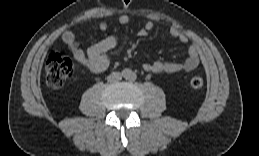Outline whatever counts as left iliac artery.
I'll return each mask as SVG.
<instances>
[{"label": "left iliac artery", "instance_id": "obj_1", "mask_svg": "<svg viewBox=\"0 0 259 156\" xmlns=\"http://www.w3.org/2000/svg\"><path fill=\"white\" fill-rule=\"evenodd\" d=\"M129 78H130L131 81H135L137 76H136V74L133 73V74L130 75Z\"/></svg>", "mask_w": 259, "mask_h": 156}]
</instances>
